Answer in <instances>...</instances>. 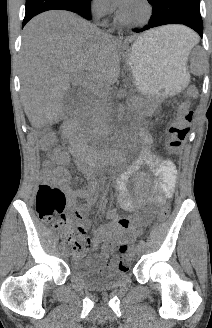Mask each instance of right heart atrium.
<instances>
[{"label": "right heart atrium", "mask_w": 212, "mask_h": 328, "mask_svg": "<svg viewBox=\"0 0 212 328\" xmlns=\"http://www.w3.org/2000/svg\"><path fill=\"white\" fill-rule=\"evenodd\" d=\"M93 8L98 13L107 14L110 11L111 6L108 0H93Z\"/></svg>", "instance_id": "d8ad5b80"}]
</instances>
